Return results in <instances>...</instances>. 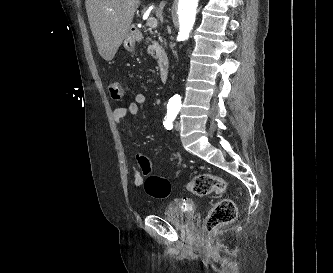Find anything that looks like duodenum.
<instances>
[{
	"label": "duodenum",
	"instance_id": "obj_1",
	"mask_svg": "<svg viewBox=\"0 0 333 273\" xmlns=\"http://www.w3.org/2000/svg\"><path fill=\"white\" fill-rule=\"evenodd\" d=\"M131 31L138 40L141 39V32L137 26L135 25L131 26ZM158 66H159L160 79L161 81L165 82L168 78L169 69H170V59L166 54L163 53L159 54Z\"/></svg>",
	"mask_w": 333,
	"mask_h": 273
}]
</instances>
